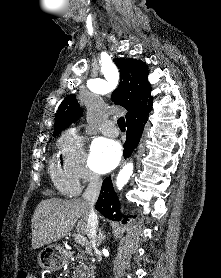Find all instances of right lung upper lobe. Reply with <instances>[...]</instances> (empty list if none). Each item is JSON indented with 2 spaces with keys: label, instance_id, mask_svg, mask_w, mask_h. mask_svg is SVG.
<instances>
[{
  "label": "right lung upper lobe",
  "instance_id": "1",
  "mask_svg": "<svg viewBox=\"0 0 221 278\" xmlns=\"http://www.w3.org/2000/svg\"><path fill=\"white\" fill-rule=\"evenodd\" d=\"M120 70V83L112 93V101L127 110V123L147 118L152 109L151 85L147 81L148 68L135 59H114ZM82 114L74 94L68 95L56 113L54 136L69 127Z\"/></svg>",
  "mask_w": 221,
  "mask_h": 278
}]
</instances>
